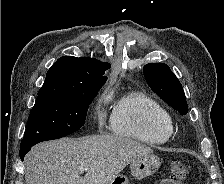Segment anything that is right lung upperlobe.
<instances>
[{
  "mask_svg": "<svg viewBox=\"0 0 224 184\" xmlns=\"http://www.w3.org/2000/svg\"><path fill=\"white\" fill-rule=\"evenodd\" d=\"M111 66L88 57L65 56L48 70L38 94H81L99 90L106 82L104 71Z\"/></svg>",
  "mask_w": 224,
  "mask_h": 184,
  "instance_id": "cb5924a9",
  "label": "right lung upper lobe"
}]
</instances>
